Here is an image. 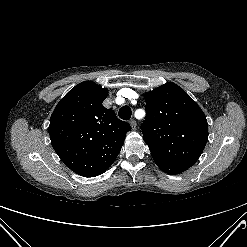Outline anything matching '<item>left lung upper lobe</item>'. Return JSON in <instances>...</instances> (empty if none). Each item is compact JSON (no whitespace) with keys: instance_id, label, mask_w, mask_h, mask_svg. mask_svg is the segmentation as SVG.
<instances>
[{"instance_id":"obj_1","label":"left lung upper lobe","mask_w":247,"mask_h":247,"mask_svg":"<svg viewBox=\"0 0 247 247\" xmlns=\"http://www.w3.org/2000/svg\"><path fill=\"white\" fill-rule=\"evenodd\" d=\"M141 129L153 159L191 167L208 139L206 116L178 85L168 82L144 95Z\"/></svg>"}]
</instances>
